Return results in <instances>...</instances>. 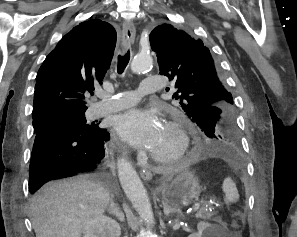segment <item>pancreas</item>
I'll use <instances>...</instances> for the list:
<instances>
[{
  "label": "pancreas",
  "instance_id": "cf45deb5",
  "mask_svg": "<svg viewBox=\"0 0 297 237\" xmlns=\"http://www.w3.org/2000/svg\"><path fill=\"white\" fill-rule=\"evenodd\" d=\"M214 215H216L215 211H209L207 207H201L199 211L196 213L195 217L204 220H209L212 219Z\"/></svg>",
  "mask_w": 297,
  "mask_h": 237
}]
</instances>
